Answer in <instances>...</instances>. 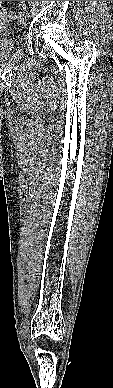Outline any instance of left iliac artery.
Wrapping results in <instances>:
<instances>
[{
	"label": "left iliac artery",
	"instance_id": "1",
	"mask_svg": "<svg viewBox=\"0 0 113 388\" xmlns=\"http://www.w3.org/2000/svg\"><path fill=\"white\" fill-rule=\"evenodd\" d=\"M24 1H22V6H23V9L25 10V11H27L26 10V6H25V4L23 3ZM27 14H28V17H30V15H29V13L27 12Z\"/></svg>",
	"mask_w": 113,
	"mask_h": 388
}]
</instances>
